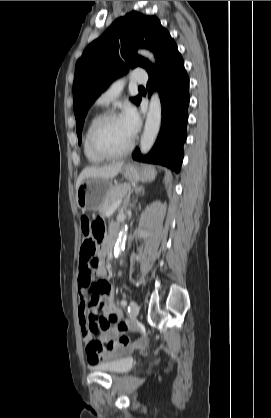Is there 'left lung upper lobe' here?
Here are the masks:
<instances>
[{"mask_svg": "<svg viewBox=\"0 0 271 418\" xmlns=\"http://www.w3.org/2000/svg\"><path fill=\"white\" fill-rule=\"evenodd\" d=\"M170 37L156 16L133 11L115 20L100 38L86 48L77 61L73 83L79 143L87 111L99 94L130 68L140 66L148 71L153 67L147 59L135 54V50L142 47L150 49L158 61ZM140 99L137 96L132 101L138 104Z\"/></svg>", "mask_w": 271, "mask_h": 418, "instance_id": "5c2ea615", "label": "left lung upper lobe"}]
</instances>
